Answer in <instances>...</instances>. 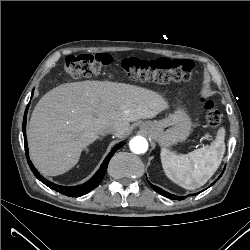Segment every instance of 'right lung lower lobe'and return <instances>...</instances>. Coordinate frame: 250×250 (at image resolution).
<instances>
[{"label":"right lung lower lobe","instance_id":"obj_1","mask_svg":"<svg viewBox=\"0 0 250 250\" xmlns=\"http://www.w3.org/2000/svg\"><path fill=\"white\" fill-rule=\"evenodd\" d=\"M28 107H29V104L26 108L24 119H23V134H24L25 152H26V156L28 159L27 162H28L32 172L34 173V175L41 182H43L45 185H47L49 188L54 189L55 191L60 192L64 195L70 196V197H79V196L87 194L88 192L95 189L102 181V179L106 173L107 166H108V163H109L111 157L113 156V154L115 153L116 150H118L119 148H121L124 145V143H120L112 149V151L105 158V160L102 163L99 170L95 173V175L89 181H87L84 184L79 185V186L67 187V186L56 185V184L48 181L47 179H45L43 176H41L39 174V172L34 168L32 162L29 160V153H28V146H27V139H26V119H27Z\"/></svg>","mask_w":250,"mask_h":250}]
</instances>
